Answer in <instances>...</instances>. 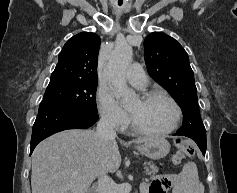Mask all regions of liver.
<instances>
[{"label": "liver", "mask_w": 237, "mask_h": 193, "mask_svg": "<svg viewBox=\"0 0 237 193\" xmlns=\"http://www.w3.org/2000/svg\"><path fill=\"white\" fill-rule=\"evenodd\" d=\"M149 138L133 142L144 143ZM121 156L115 139L101 141L95 130H65L42 141L32 154V193H86L99 174L115 172ZM79 174L72 176L73 172Z\"/></svg>", "instance_id": "1"}]
</instances>
